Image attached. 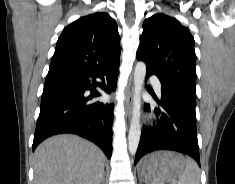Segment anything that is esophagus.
<instances>
[{"label":"esophagus","mask_w":235,"mask_h":184,"mask_svg":"<svg viewBox=\"0 0 235 184\" xmlns=\"http://www.w3.org/2000/svg\"><path fill=\"white\" fill-rule=\"evenodd\" d=\"M133 90H134L133 78L131 77L128 83V87L126 89V100H125L129 115L131 112V106H132V100H133Z\"/></svg>","instance_id":"34e87169"}]
</instances>
